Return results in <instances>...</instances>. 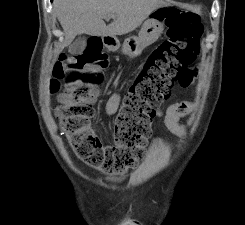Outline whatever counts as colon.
I'll return each instance as SVG.
<instances>
[{
	"instance_id": "obj_1",
	"label": "colon",
	"mask_w": 245,
	"mask_h": 225,
	"mask_svg": "<svg viewBox=\"0 0 245 225\" xmlns=\"http://www.w3.org/2000/svg\"><path fill=\"white\" fill-rule=\"evenodd\" d=\"M162 20L167 38L132 79L115 119L113 146L103 145L90 128L100 91L88 83L101 80L102 73L85 69L109 66V57L99 39H80L77 51L63 54L53 68L51 90L59 94L55 115L61 132L76 157L94 169L123 173L142 157L159 105L170 98L176 84L187 87L195 79L190 68L199 54L202 26L198 15L171 7L163 9ZM176 107L179 116L191 110L187 100L178 102Z\"/></svg>"
}]
</instances>
